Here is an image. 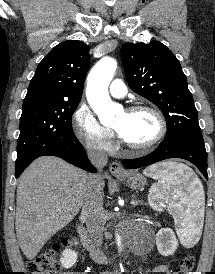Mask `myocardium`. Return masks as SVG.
I'll use <instances>...</instances> for the list:
<instances>
[{
	"instance_id": "1",
	"label": "myocardium",
	"mask_w": 215,
	"mask_h": 274,
	"mask_svg": "<svg viewBox=\"0 0 215 274\" xmlns=\"http://www.w3.org/2000/svg\"><path fill=\"white\" fill-rule=\"evenodd\" d=\"M128 113L137 112V111H147L154 115L158 123V132L150 141L144 144H132L125 141L122 137V143L129 149L136 152H146L154 148L158 143H160L167 134V121L162 114V112L153 105L150 104H135L129 106L125 110Z\"/></svg>"
}]
</instances>
